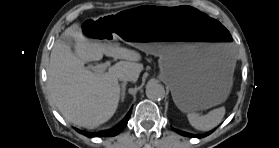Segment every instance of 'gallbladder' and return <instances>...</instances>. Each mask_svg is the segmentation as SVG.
Returning a JSON list of instances; mask_svg holds the SVG:
<instances>
[{"label": "gallbladder", "mask_w": 279, "mask_h": 148, "mask_svg": "<svg viewBox=\"0 0 279 148\" xmlns=\"http://www.w3.org/2000/svg\"><path fill=\"white\" fill-rule=\"evenodd\" d=\"M61 41L64 42L66 45L70 46L71 48H73L75 45L74 39L72 37L62 36Z\"/></svg>", "instance_id": "obj_1"}]
</instances>
